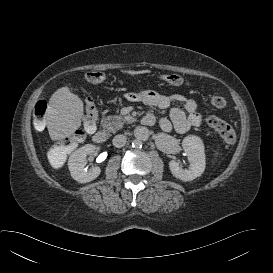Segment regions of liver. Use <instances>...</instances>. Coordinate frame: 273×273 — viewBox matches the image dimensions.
Here are the masks:
<instances>
[{"label":"liver","instance_id":"obj_1","mask_svg":"<svg viewBox=\"0 0 273 273\" xmlns=\"http://www.w3.org/2000/svg\"><path fill=\"white\" fill-rule=\"evenodd\" d=\"M84 108L82 100L69 88L58 89L50 98L46 112L47 129L53 141L70 137L80 126Z\"/></svg>","mask_w":273,"mask_h":273}]
</instances>
